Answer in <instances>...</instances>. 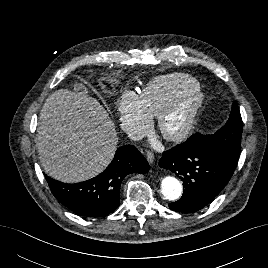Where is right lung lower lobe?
Wrapping results in <instances>:
<instances>
[{"instance_id": "1", "label": "right lung lower lobe", "mask_w": 268, "mask_h": 268, "mask_svg": "<svg viewBox=\"0 0 268 268\" xmlns=\"http://www.w3.org/2000/svg\"><path fill=\"white\" fill-rule=\"evenodd\" d=\"M149 164L132 145L117 149L114 159L98 176L76 184H66L45 175L52 194L74 213L105 216L120 204V184L131 173H147Z\"/></svg>"}]
</instances>
